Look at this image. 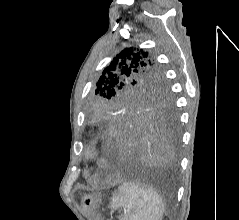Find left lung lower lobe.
<instances>
[{
	"label": "left lung lower lobe",
	"mask_w": 239,
	"mask_h": 220,
	"mask_svg": "<svg viewBox=\"0 0 239 220\" xmlns=\"http://www.w3.org/2000/svg\"><path fill=\"white\" fill-rule=\"evenodd\" d=\"M95 127L106 145L109 165L173 163L179 143L175 113L114 107L99 113Z\"/></svg>",
	"instance_id": "1"
}]
</instances>
